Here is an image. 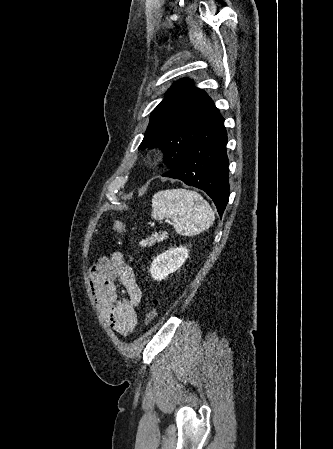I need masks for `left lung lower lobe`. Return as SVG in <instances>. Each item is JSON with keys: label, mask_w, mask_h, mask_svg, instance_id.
Masks as SVG:
<instances>
[{"label": "left lung lower lobe", "mask_w": 333, "mask_h": 449, "mask_svg": "<svg viewBox=\"0 0 333 449\" xmlns=\"http://www.w3.org/2000/svg\"><path fill=\"white\" fill-rule=\"evenodd\" d=\"M226 144L224 118L214 107L198 130L182 164L162 174L206 192L215 203L220 217L229 199Z\"/></svg>", "instance_id": "obj_1"}]
</instances>
